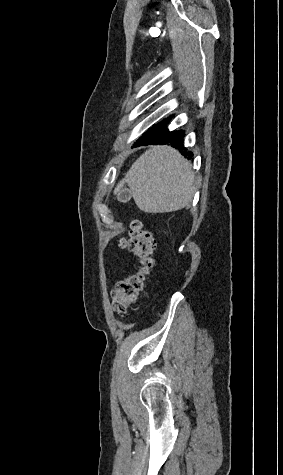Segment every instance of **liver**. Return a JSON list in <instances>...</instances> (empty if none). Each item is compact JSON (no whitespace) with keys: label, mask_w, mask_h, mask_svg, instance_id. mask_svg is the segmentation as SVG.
I'll return each instance as SVG.
<instances>
[{"label":"liver","mask_w":283,"mask_h":475,"mask_svg":"<svg viewBox=\"0 0 283 475\" xmlns=\"http://www.w3.org/2000/svg\"><path fill=\"white\" fill-rule=\"evenodd\" d=\"M192 164L171 146H150L135 160L114 194L125 182L136 206L146 214L182 210L194 194Z\"/></svg>","instance_id":"obj_1"}]
</instances>
